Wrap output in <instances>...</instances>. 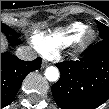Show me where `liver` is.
<instances>
[{
    "instance_id": "liver-1",
    "label": "liver",
    "mask_w": 109,
    "mask_h": 109,
    "mask_svg": "<svg viewBox=\"0 0 109 109\" xmlns=\"http://www.w3.org/2000/svg\"><path fill=\"white\" fill-rule=\"evenodd\" d=\"M6 48H7V42H6L5 38L2 37V39H1V49H2V51H5Z\"/></svg>"
}]
</instances>
